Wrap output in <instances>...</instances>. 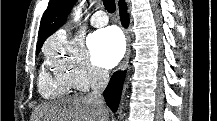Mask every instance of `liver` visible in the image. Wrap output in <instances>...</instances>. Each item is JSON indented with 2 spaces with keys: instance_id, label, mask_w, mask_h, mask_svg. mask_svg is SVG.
Returning a JSON list of instances; mask_svg holds the SVG:
<instances>
[{
  "instance_id": "6515ba94",
  "label": "liver",
  "mask_w": 217,
  "mask_h": 121,
  "mask_svg": "<svg viewBox=\"0 0 217 121\" xmlns=\"http://www.w3.org/2000/svg\"><path fill=\"white\" fill-rule=\"evenodd\" d=\"M36 121H109L108 110L88 96L61 99L36 109Z\"/></svg>"
}]
</instances>
